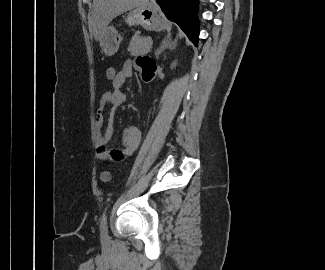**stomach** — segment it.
Returning a JSON list of instances; mask_svg holds the SVG:
<instances>
[{
	"mask_svg": "<svg viewBox=\"0 0 325 270\" xmlns=\"http://www.w3.org/2000/svg\"><path fill=\"white\" fill-rule=\"evenodd\" d=\"M126 22L129 25H141L149 31H162L166 27L162 14L153 3L141 4L131 10L126 17ZM121 41V35L110 26L105 29L100 46L106 55L112 56L118 51Z\"/></svg>",
	"mask_w": 325,
	"mask_h": 270,
	"instance_id": "1",
	"label": "stomach"
}]
</instances>
